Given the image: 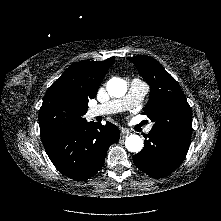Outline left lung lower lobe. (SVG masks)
<instances>
[{"mask_svg": "<svg viewBox=\"0 0 221 221\" xmlns=\"http://www.w3.org/2000/svg\"><path fill=\"white\" fill-rule=\"evenodd\" d=\"M143 150L133 156L135 165L154 178H162L175 171L184 161L190 137L151 130L146 135Z\"/></svg>", "mask_w": 221, "mask_h": 221, "instance_id": "left-lung-lower-lobe-1", "label": "left lung lower lobe"}]
</instances>
